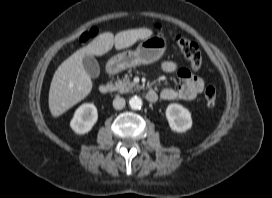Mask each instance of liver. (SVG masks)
I'll use <instances>...</instances> for the list:
<instances>
[{"instance_id":"obj_1","label":"liver","mask_w":272,"mask_h":198,"mask_svg":"<svg viewBox=\"0 0 272 198\" xmlns=\"http://www.w3.org/2000/svg\"><path fill=\"white\" fill-rule=\"evenodd\" d=\"M152 34L153 31L148 28L125 30L115 36L105 32L68 57L55 71L51 81L48 102L52 116L62 115L91 92L92 80L82 62L85 55L101 56L113 46L117 50L128 48Z\"/></svg>"}]
</instances>
